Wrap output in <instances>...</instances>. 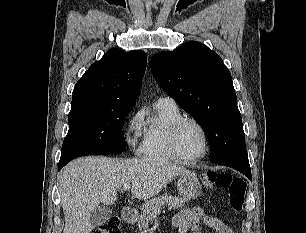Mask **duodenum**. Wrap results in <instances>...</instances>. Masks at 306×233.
<instances>
[{"mask_svg": "<svg viewBox=\"0 0 306 233\" xmlns=\"http://www.w3.org/2000/svg\"><path fill=\"white\" fill-rule=\"evenodd\" d=\"M122 218L125 223L132 224L135 219V211L131 207H124L121 211Z\"/></svg>", "mask_w": 306, "mask_h": 233, "instance_id": "duodenum-1", "label": "duodenum"}]
</instances>
